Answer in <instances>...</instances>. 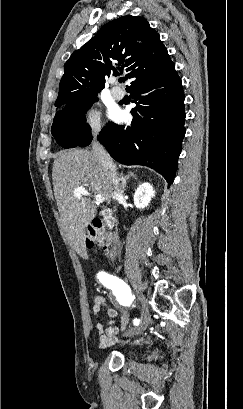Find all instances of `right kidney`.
<instances>
[{
    "mask_svg": "<svg viewBox=\"0 0 243 409\" xmlns=\"http://www.w3.org/2000/svg\"><path fill=\"white\" fill-rule=\"evenodd\" d=\"M154 194L155 191L149 183L145 182L139 185L133 197L135 206L139 209L147 207Z\"/></svg>",
    "mask_w": 243,
    "mask_h": 409,
    "instance_id": "ca27d5eb",
    "label": "right kidney"
}]
</instances>
